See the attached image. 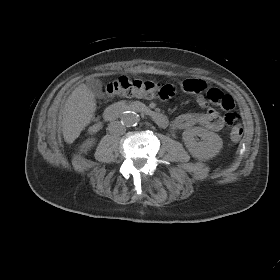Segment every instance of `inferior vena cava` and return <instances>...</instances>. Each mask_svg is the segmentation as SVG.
Returning <instances> with one entry per match:
<instances>
[{"label":"inferior vena cava","mask_w":280,"mask_h":280,"mask_svg":"<svg viewBox=\"0 0 280 280\" xmlns=\"http://www.w3.org/2000/svg\"><path fill=\"white\" fill-rule=\"evenodd\" d=\"M108 130L113 135H123L126 132V127L119 121H113L109 124Z\"/></svg>","instance_id":"obj_1"}]
</instances>
